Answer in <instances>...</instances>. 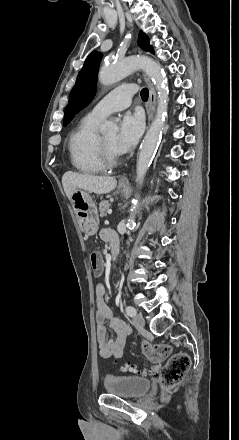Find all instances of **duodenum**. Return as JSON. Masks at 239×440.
Here are the masks:
<instances>
[{
  "instance_id": "obj_1",
  "label": "duodenum",
  "mask_w": 239,
  "mask_h": 440,
  "mask_svg": "<svg viewBox=\"0 0 239 440\" xmlns=\"http://www.w3.org/2000/svg\"><path fill=\"white\" fill-rule=\"evenodd\" d=\"M119 253V244L118 242H113L111 244L110 255L112 258H116Z\"/></svg>"
}]
</instances>
